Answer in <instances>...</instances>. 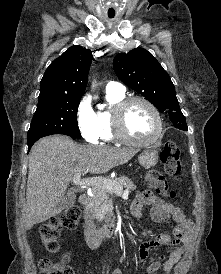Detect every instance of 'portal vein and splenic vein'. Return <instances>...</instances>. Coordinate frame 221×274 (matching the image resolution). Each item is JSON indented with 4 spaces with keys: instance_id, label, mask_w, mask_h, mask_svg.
Returning <instances> with one entry per match:
<instances>
[{
    "instance_id": "18ae733b",
    "label": "portal vein and splenic vein",
    "mask_w": 221,
    "mask_h": 274,
    "mask_svg": "<svg viewBox=\"0 0 221 274\" xmlns=\"http://www.w3.org/2000/svg\"><path fill=\"white\" fill-rule=\"evenodd\" d=\"M73 182L74 184L81 186V187H100L101 185H104L106 188L112 190L114 193H116L119 196H122V198L126 199L128 198L129 190H124L116 185H109L107 183L106 179H100V178H87V179H81V173H76L73 176Z\"/></svg>"
}]
</instances>
